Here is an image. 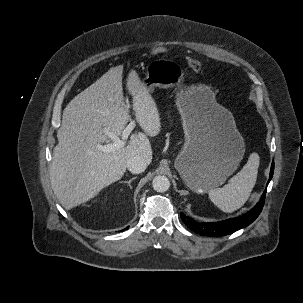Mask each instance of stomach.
Returning a JSON list of instances; mask_svg holds the SVG:
<instances>
[{
	"label": "stomach",
	"instance_id": "stomach-1",
	"mask_svg": "<svg viewBox=\"0 0 303 303\" xmlns=\"http://www.w3.org/2000/svg\"><path fill=\"white\" fill-rule=\"evenodd\" d=\"M184 75L176 62L161 58L148 64L143 83L150 92L155 87L172 88L182 85ZM176 106L185 143L175 168L191 190L207 192L222 185L237 169L245 153L244 139L232 113L216 102L214 93L204 84L181 89Z\"/></svg>",
	"mask_w": 303,
	"mask_h": 303
}]
</instances>
